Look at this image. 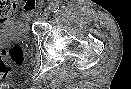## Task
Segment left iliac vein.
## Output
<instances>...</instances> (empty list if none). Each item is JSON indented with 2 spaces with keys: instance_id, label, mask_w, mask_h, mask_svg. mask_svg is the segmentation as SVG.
Here are the masks:
<instances>
[{
  "instance_id": "1",
  "label": "left iliac vein",
  "mask_w": 131,
  "mask_h": 89,
  "mask_svg": "<svg viewBox=\"0 0 131 89\" xmlns=\"http://www.w3.org/2000/svg\"><path fill=\"white\" fill-rule=\"evenodd\" d=\"M49 15H50V10H49V9H45V10L43 11V14H42L43 18H48Z\"/></svg>"
}]
</instances>
